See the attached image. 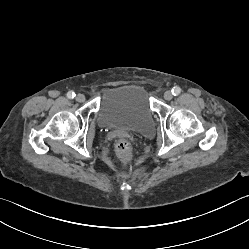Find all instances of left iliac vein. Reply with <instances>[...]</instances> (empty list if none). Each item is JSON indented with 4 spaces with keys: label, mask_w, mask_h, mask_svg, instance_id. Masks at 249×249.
Instances as JSON below:
<instances>
[{
    "label": "left iliac vein",
    "mask_w": 249,
    "mask_h": 249,
    "mask_svg": "<svg viewBox=\"0 0 249 249\" xmlns=\"http://www.w3.org/2000/svg\"><path fill=\"white\" fill-rule=\"evenodd\" d=\"M164 98H165L166 100H171V99L173 98L172 92H171V91H166V92L164 93Z\"/></svg>",
    "instance_id": "4c4485c4"
}]
</instances>
